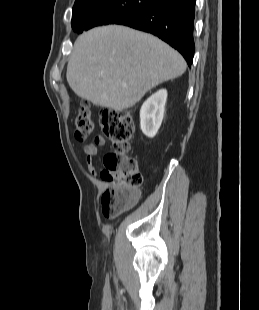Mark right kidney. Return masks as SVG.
<instances>
[{"label":"right kidney","instance_id":"1","mask_svg":"<svg viewBox=\"0 0 259 310\" xmlns=\"http://www.w3.org/2000/svg\"><path fill=\"white\" fill-rule=\"evenodd\" d=\"M167 99L166 89H161L151 95L140 110V127L144 135L152 138L158 132L165 111Z\"/></svg>","mask_w":259,"mask_h":310}]
</instances>
